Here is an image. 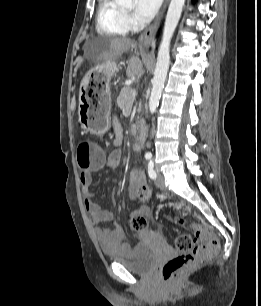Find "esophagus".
Listing matches in <instances>:
<instances>
[{
  "label": "esophagus",
  "instance_id": "obj_1",
  "mask_svg": "<svg viewBox=\"0 0 261 306\" xmlns=\"http://www.w3.org/2000/svg\"><path fill=\"white\" fill-rule=\"evenodd\" d=\"M169 0H164L163 5L161 7V10L157 14L154 21L151 23V25L145 29V31L141 34L139 38V46L142 49H150L154 45V37L156 30L163 18V15L165 13V10L168 6Z\"/></svg>",
  "mask_w": 261,
  "mask_h": 306
}]
</instances>
